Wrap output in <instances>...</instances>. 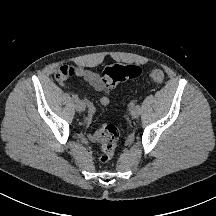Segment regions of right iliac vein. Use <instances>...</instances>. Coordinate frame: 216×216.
Masks as SVG:
<instances>
[{"label":"right iliac vein","instance_id":"63e3f726","mask_svg":"<svg viewBox=\"0 0 216 216\" xmlns=\"http://www.w3.org/2000/svg\"><path fill=\"white\" fill-rule=\"evenodd\" d=\"M75 107H76L77 111L83 112V111H85L86 105L82 100H77Z\"/></svg>","mask_w":216,"mask_h":216}]
</instances>
